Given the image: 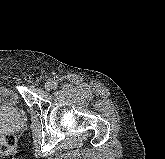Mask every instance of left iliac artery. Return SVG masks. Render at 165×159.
<instances>
[{"instance_id":"left-iliac-artery-1","label":"left iliac artery","mask_w":165,"mask_h":159,"mask_svg":"<svg viewBox=\"0 0 165 159\" xmlns=\"http://www.w3.org/2000/svg\"><path fill=\"white\" fill-rule=\"evenodd\" d=\"M53 86H54V88H56L57 87V83L53 82Z\"/></svg>"}]
</instances>
